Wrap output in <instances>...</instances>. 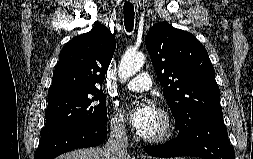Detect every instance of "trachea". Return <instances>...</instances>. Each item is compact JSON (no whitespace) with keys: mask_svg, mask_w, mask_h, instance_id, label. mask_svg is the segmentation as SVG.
Returning a JSON list of instances; mask_svg holds the SVG:
<instances>
[{"mask_svg":"<svg viewBox=\"0 0 253 159\" xmlns=\"http://www.w3.org/2000/svg\"><path fill=\"white\" fill-rule=\"evenodd\" d=\"M134 6L130 2H125L124 4V25L128 32L133 30L134 26Z\"/></svg>","mask_w":253,"mask_h":159,"instance_id":"3493384b","label":"trachea"}]
</instances>
